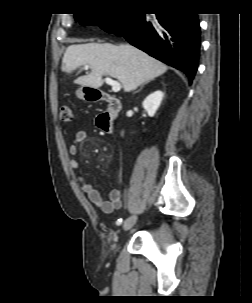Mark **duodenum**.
I'll list each match as a JSON object with an SVG mask.
<instances>
[{
  "instance_id": "1",
  "label": "duodenum",
  "mask_w": 252,
  "mask_h": 303,
  "mask_svg": "<svg viewBox=\"0 0 252 303\" xmlns=\"http://www.w3.org/2000/svg\"><path fill=\"white\" fill-rule=\"evenodd\" d=\"M89 100L103 101L107 104L106 110L99 115V122L102 125V129L107 133L113 132V119L122 109V103L116 97L107 94L105 92H99L96 90H87Z\"/></svg>"
}]
</instances>
